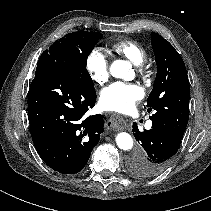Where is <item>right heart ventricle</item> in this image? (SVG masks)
<instances>
[{"label":"right heart ventricle","instance_id":"1","mask_svg":"<svg viewBox=\"0 0 211 211\" xmlns=\"http://www.w3.org/2000/svg\"><path fill=\"white\" fill-rule=\"evenodd\" d=\"M111 49L115 53L127 58L135 65L142 64L146 58L145 49L132 40L117 41L112 45Z\"/></svg>","mask_w":211,"mask_h":211}]
</instances>
